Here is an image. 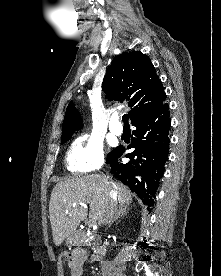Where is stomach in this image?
Returning <instances> with one entry per match:
<instances>
[{
	"label": "stomach",
	"instance_id": "0dacf381",
	"mask_svg": "<svg viewBox=\"0 0 221 276\" xmlns=\"http://www.w3.org/2000/svg\"><path fill=\"white\" fill-rule=\"evenodd\" d=\"M80 242L79 235L77 233H73L66 239V244L69 246H76Z\"/></svg>",
	"mask_w": 221,
	"mask_h": 276
}]
</instances>
